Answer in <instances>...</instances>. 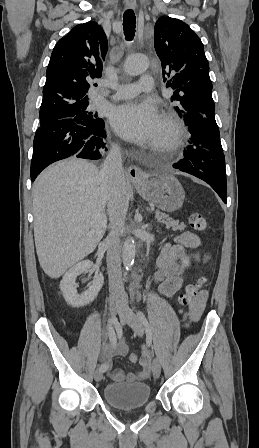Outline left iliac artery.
Segmentation results:
<instances>
[{"instance_id":"1","label":"left iliac artery","mask_w":259,"mask_h":448,"mask_svg":"<svg viewBox=\"0 0 259 448\" xmlns=\"http://www.w3.org/2000/svg\"><path fill=\"white\" fill-rule=\"evenodd\" d=\"M137 314H138V316L140 317L141 321H142L145 325H147L148 322H147V319H146V317H145V314H144L143 312H141V311H138Z\"/></svg>"}]
</instances>
